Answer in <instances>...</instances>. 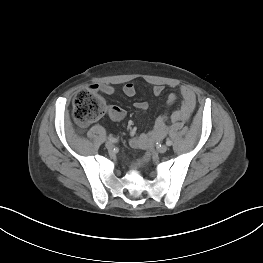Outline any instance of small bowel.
<instances>
[{
	"label": "small bowel",
	"instance_id": "c3829d8e",
	"mask_svg": "<svg viewBox=\"0 0 263 263\" xmlns=\"http://www.w3.org/2000/svg\"><path fill=\"white\" fill-rule=\"evenodd\" d=\"M92 89L99 90L106 95H112L114 93V87L109 84L93 85ZM164 91L162 85H156L153 87V94L159 97ZM123 93L128 97H133L136 93V88L133 83H127L123 87ZM179 95L182 99V103L179 109L175 110L171 115L173 122L185 121L190 118L196 106V97L194 92L185 86L180 87ZM177 95L175 93L169 94L167 103L172 104L176 100ZM135 108L144 112L148 108V103L139 101L134 104ZM108 116L113 121H120L125 116V111L116 105H111L107 108ZM166 133V117L160 116L155 122L154 129L148 133H143L137 136H133L130 139V146L135 149L145 148L151 140L159 139Z\"/></svg>",
	"mask_w": 263,
	"mask_h": 263
}]
</instances>
